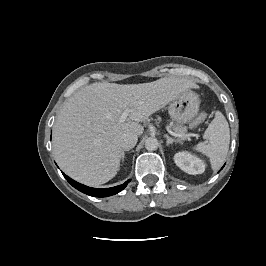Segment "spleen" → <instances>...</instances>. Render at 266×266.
Here are the masks:
<instances>
[{"label": "spleen", "instance_id": "obj_1", "mask_svg": "<svg viewBox=\"0 0 266 266\" xmlns=\"http://www.w3.org/2000/svg\"><path fill=\"white\" fill-rule=\"evenodd\" d=\"M203 137L206 141L198 143L194 150L209 157L212 169L216 170L225 161L230 143L229 125L221 112L215 113Z\"/></svg>", "mask_w": 266, "mask_h": 266}]
</instances>
